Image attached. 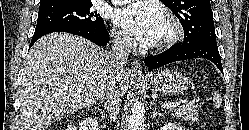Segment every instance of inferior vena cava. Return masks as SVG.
Returning a JSON list of instances; mask_svg holds the SVG:
<instances>
[{"label": "inferior vena cava", "mask_w": 249, "mask_h": 130, "mask_svg": "<svg viewBox=\"0 0 249 130\" xmlns=\"http://www.w3.org/2000/svg\"><path fill=\"white\" fill-rule=\"evenodd\" d=\"M135 46L136 43L129 36L119 33L113 34V46L109 52V58L115 76L101 96L104 109L108 111L110 118L113 120H116L120 110V94L116 88V79L125 70L129 53Z\"/></svg>", "instance_id": "obj_1"}]
</instances>
